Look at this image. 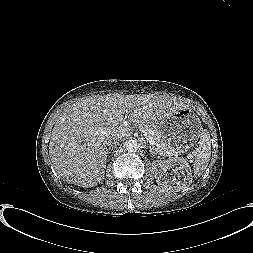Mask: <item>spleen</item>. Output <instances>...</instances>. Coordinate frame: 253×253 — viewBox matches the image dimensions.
<instances>
[{"mask_svg": "<svg viewBox=\"0 0 253 253\" xmlns=\"http://www.w3.org/2000/svg\"><path fill=\"white\" fill-rule=\"evenodd\" d=\"M198 153L193 164L194 176H200L207 168L211 158V138L208 132H203L198 142Z\"/></svg>", "mask_w": 253, "mask_h": 253, "instance_id": "3e777b00", "label": "spleen"}]
</instances>
